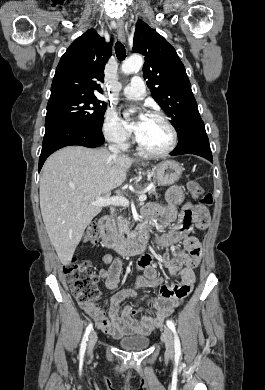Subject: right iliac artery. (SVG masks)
Returning <instances> with one entry per match:
<instances>
[{
	"instance_id": "1",
	"label": "right iliac artery",
	"mask_w": 265,
	"mask_h": 390,
	"mask_svg": "<svg viewBox=\"0 0 265 390\" xmlns=\"http://www.w3.org/2000/svg\"><path fill=\"white\" fill-rule=\"evenodd\" d=\"M93 328V325L92 323H90L87 328H86V331L84 333V336H83V339H82V342H81V347H80V358H83L84 356V353H85V350H86V346H87V341H88V336L91 332Z\"/></svg>"
}]
</instances>
